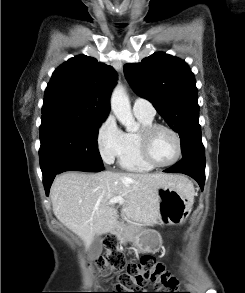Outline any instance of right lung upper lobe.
I'll list each match as a JSON object with an SVG mask.
<instances>
[{"instance_id": "right-lung-upper-lobe-1", "label": "right lung upper lobe", "mask_w": 245, "mask_h": 293, "mask_svg": "<svg viewBox=\"0 0 245 293\" xmlns=\"http://www.w3.org/2000/svg\"><path fill=\"white\" fill-rule=\"evenodd\" d=\"M117 75L111 66L79 55L57 68L45 90L42 115L58 113L105 120Z\"/></svg>"}]
</instances>
